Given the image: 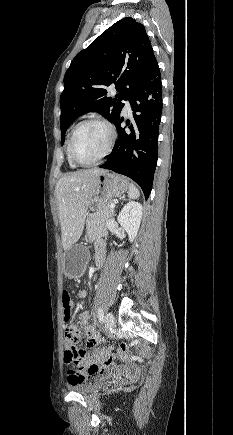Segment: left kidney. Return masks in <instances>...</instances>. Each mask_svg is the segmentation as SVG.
<instances>
[{
    "mask_svg": "<svg viewBox=\"0 0 233 435\" xmlns=\"http://www.w3.org/2000/svg\"><path fill=\"white\" fill-rule=\"evenodd\" d=\"M142 205L139 202H128L118 215V223L124 228L132 242L139 230L142 218Z\"/></svg>",
    "mask_w": 233,
    "mask_h": 435,
    "instance_id": "left-kidney-1",
    "label": "left kidney"
}]
</instances>
